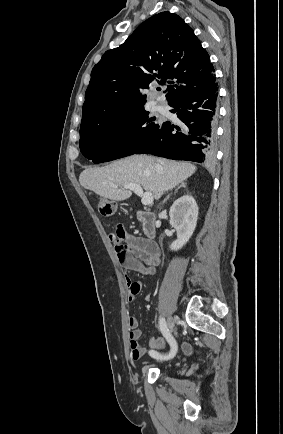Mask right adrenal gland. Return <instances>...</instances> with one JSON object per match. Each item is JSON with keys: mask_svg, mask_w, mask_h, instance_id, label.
<instances>
[{"mask_svg": "<svg viewBox=\"0 0 283 434\" xmlns=\"http://www.w3.org/2000/svg\"><path fill=\"white\" fill-rule=\"evenodd\" d=\"M180 188H186V184H185L184 182H181V184H180V185L175 189L174 194L177 193V192H178V189H180ZM170 195H171V194H169V195L164 199V201L162 202V205L165 204V203L167 202V200L170 198Z\"/></svg>", "mask_w": 283, "mask_h": 434, "instance_id": "1", "label": "right adrenal gland"}]
</instances>
